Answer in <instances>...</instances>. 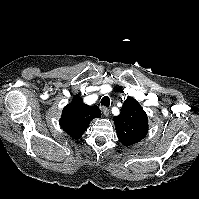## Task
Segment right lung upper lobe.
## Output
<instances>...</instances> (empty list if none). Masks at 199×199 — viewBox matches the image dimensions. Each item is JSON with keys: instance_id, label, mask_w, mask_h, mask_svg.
<instances>
[{"instance_id": "1", "label": "right lung upper lobe", "mask_w": 199, "mask_h": 199, "mask_svg": "<svg viewBox=\"0 0 199 199\" xmlns=\"http://www.w3.org/2000/svg\"><path fill=\"white\" fill-rule=\"evenodd\" d=\"M101 115L98 106H88L82 98L74 97L62 111L59 121L61 128L74 139H79L87 130L90 121Z\"/></svg>"}]
</instances>
